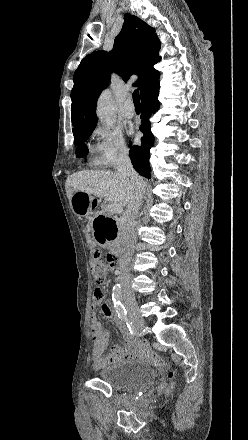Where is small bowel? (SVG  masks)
<instances>
[{"instance_id":"c3829d8e","label":"small bowel","mask_w":248,"mask_h":440,"mask_svg":"<svg viewBox=\"0 0 248 440\" xmlns=\"http://www.w3.org/2000/svg\"><path fill=\"white\" fill-rule=\"evenodd\" d=\"M116 270L115 267H112L109 274L112 276L114 274L113 272ZM107 279L110 281L112 278L109 276ZM100 289L102 290V288ZM94 303L95 304L90 311V327L93 340L91 359L92 365L95 369H101L108 365L130 359H148L154 363H159L158 356L150 350L149 344L146 340L136 341L132 339L126 326L121 322L117 312L112 308L111 304L105 300V297L102 300L95 299L94 297ZM97 306L102 309L107 318L111 319L116 324L118 330L123 336V344L112 347L108 353H105V351L109 342V333L103 329L101 323L97 319Z\"/></svg>"}]
</instances>
